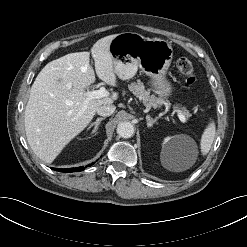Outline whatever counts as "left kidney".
Instances as JSON below:
<instances>
[{"label":"left kidney","instance_id":"5707ae66","mask_svg":"<svg viewBox=\"0 0 247 247\" xmlns=\"http://www.w3.org/2000/svg\"><path fill=\"white\" fill-rule=\"evenodd\" d=\"M187 142H189V138L185 135L168 137L164 140L162 154L165 156L170 169L178 170L180 168L177 163L183 162V153Z\"/></svg>","mask_w":247,"mask_h":247}]
</instances>
